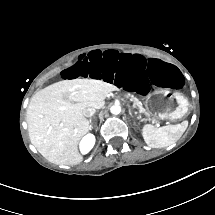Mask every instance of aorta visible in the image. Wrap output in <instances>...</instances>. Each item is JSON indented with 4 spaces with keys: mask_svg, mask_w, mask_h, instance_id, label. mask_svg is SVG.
Listing matches in <instances>:
<instances>
[{
    "mask_svg": "<svg viewBox=\"0 0 215 215\" xmlns=\"http://www.w3.org/2000/svg\"><path fill=\"white\" fill-rule=\"evenodd\" d=\"M110 111L113 115H118L121 112V107L119 105H113L111 106Z\"/></svg>",
    "mask_w": 215,
    "mask_h": 215,
    "instance_id": "762f6f07",
    "label": "aorta"
}]
</instances>
